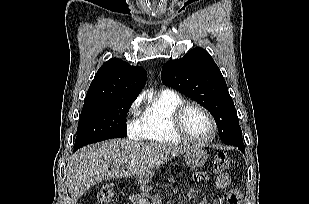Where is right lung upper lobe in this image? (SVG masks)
Masks as SVG:
<instances>
[{
  "label": "right lung upper lobe",
  "mask_w": 309,
  "mask_h": 204,
  "mask_svg": "<svg viewBox=\"0 0 309 204\" xmlns=\"http://www.w3.org/2000/svg\"><path fill=\"white\" fill-rule=\"evenodd\" d=\"M147 72L140 66H131L121 59L105 62L90 84L84 104L114 99L135 98L143 89Z\"/></svg>",
  "instance_id": "1"
}]
</instances>
